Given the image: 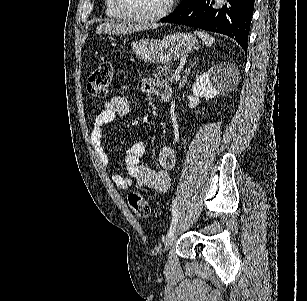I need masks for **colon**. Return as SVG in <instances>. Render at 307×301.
Here are the masks:
<instances>
[{
  "mask_svg": "<svg viewBox=\"0 0 307 301\" xmlns=\"http://www.w3.org/2000/svg\"><path fill=\"white\" fill-rule=\"evenodd\" d=\"M113 76V67L110 62H103L90 74L87 81L88 92L97 98H104L107 95ZM128 203L135 215L147 218L151 209L146 199L137 192L128 195Z\"/></svg>",
  "mask_w": 307,
  "mask_h": 301,
  "instance_id": "1",
  "label": "colon"
}]
</instances>
